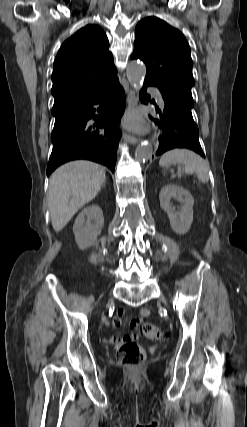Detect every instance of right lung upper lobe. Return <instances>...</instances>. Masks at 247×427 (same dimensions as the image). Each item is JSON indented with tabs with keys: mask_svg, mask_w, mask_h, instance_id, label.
<instances>
[{
	"mask_svg": "<svg viewBox=\"0 0 247 427\" xmlns=\"http://www.w3.org/2000/svg\"><path fill=\"white\" fill-rule=\"evenodd\" d=\"M109 41L101 27L87 25L66 40L54 61V104L87 97L118 80Z\"/></svg>",
	"mask_w": 247,
	"mask_h": 427,
	"instance_id": "right-lung-upper-lobe-1",
	"label": "right lung upper lobe"
}]
</instances>
